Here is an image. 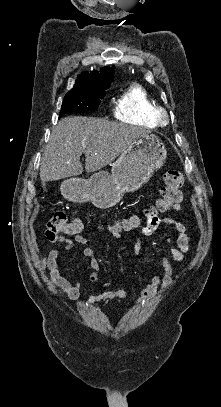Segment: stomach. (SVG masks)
I'll list each match as a JSON object with an SVG mask.
<instances>
[{"label": "stomach", "mask_w": 221, "mask_h": 407, "mask_svg": "<svg viewBox=\"0 0 221 407\" xmlns=\"http://www.w3.org/2000/svg\"><path fill=\"white\" fill-rule=\"evenodd\" d=\"M167 158L165 143L155 134L135 139L113 163L111 173L99 171L88 180L69 178L61 192L74 203L91 201L100 209L115 206L125 193L134 192L149 181Z\"/></svg>", "instance_id": "stomach-1"}]
</instances>
